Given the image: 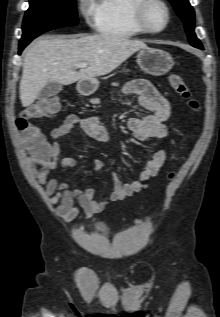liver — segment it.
Listing matches in <instances>:
<instances>
[{
  "instance_id": "1",
  "label": "liver",
  "mask_w": 220,
  "mask_h": 317,
  "mask_svg": "<svg viewBox=\"0 0 220 317\" xmlns=\"http://www.w3.org/2000/svg\"><path fill=\"white\" fill-rule=\"evenodd\" d=\"M144 48L147 45L142 41L111 35L38 39L24 57L19 86L22 106L31 105L48 82L70 85L106 75ZM79 63L88 66L76 71Z\"/></svg>"
}]
</instances>
